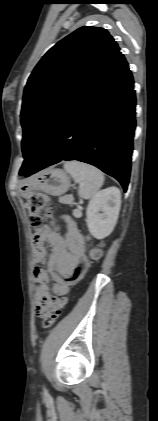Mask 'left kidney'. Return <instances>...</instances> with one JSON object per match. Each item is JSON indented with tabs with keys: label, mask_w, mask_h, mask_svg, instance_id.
Returning a JSON list of instances; mask_svg holds the SVG:
<instances>
[{
	"label": "left kidney",
	"mask_w": 158,
	"mask_h": 421,
	"mask_svg": "<svg viewBox=\"0 0 158 421\" xmlns=\"http://www.w3.org/2000/svg\"><path fill=\"white\" fill-rule=\"evenodd\" d=\"M121 206V193L117 187L99 191L87 207L86 223L89 232L96 239L109 236L118 219Z\"/></svg>",
	"instance_id": "left-kidney-1"
}]
</instances>
